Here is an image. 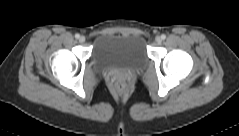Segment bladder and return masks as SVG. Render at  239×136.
<instances>
[{"label":"bladder","instance_id":"1","mask_svg":"<svg viewBox=\"0 0 239 136\" xmlns=\"http://www.w3.org/2000/svg\"><path fill=\"white\" fill-rule=\"evenodd\" d=\"M92 56L98 68L139 69L148 59L146 41L136 34L105 33L93 40Z\"/></svg>","mask_w":239,"mask_h":136}]
</instances>
